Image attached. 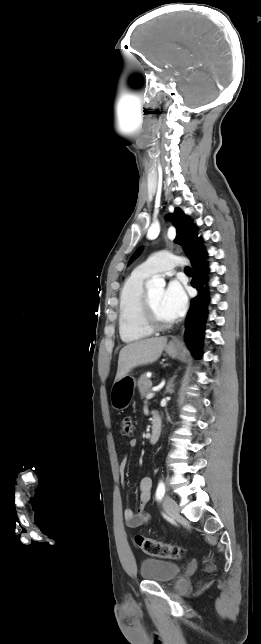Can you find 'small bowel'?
Here are the masks:
<instances>
[{
    "label": "small bowel",
    "instance_id": "1",
    "mask_svg": "<svg viewBox=\"0 0 261 644\" xmlns=\"http://www.w3.org/2000/svg\"><path fill=\"white\" fill-rule=\"evenodd\" d=\"M137 441L135 439L130 441V446L135 447ZM127 464V457L121 461L119 465V472L121 482L124 483V470ZM152 479L150 476L143 477L139 482V508L137 511L127 508L124 510V518L127 526L132 529L139 528L148 522V516L144 512V507L151 498Z\"/></svg>",
    "mask_w": 261,
    "mask_h": 644
}]
</instances>
